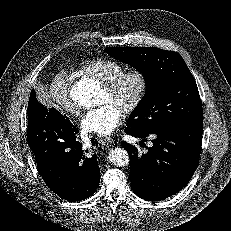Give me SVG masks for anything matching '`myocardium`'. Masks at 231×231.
<instances>
[{"label":"myocardium","instance_id":"myocardium-1","mask_svg":"<svg viewBox=\"0 0 231 231\" xmlns=\"http://www.w3.org/2000/svg\"><path fill=\"white\" fill-rule=\"evenodd\" d=\"M129 79H134L137 82V88L132 97L122 106L125 113L134 111L146 96L149 87L146 73L139 69H131L120 73L109 83L103 85L109 95L116 96Z\"/></svg>","mask_w":231,"mask_h":231}]
</instances>
